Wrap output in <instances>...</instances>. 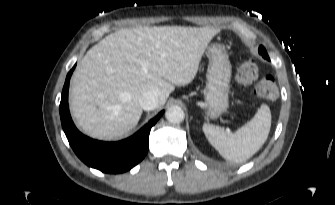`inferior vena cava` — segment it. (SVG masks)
Segmentation results:
<instances>
[{"label":"inferior vena cava","mask_w":335,"mask_h":205,"mask_svg":"<svg viewBox=\"0 0 335 205\" xmlns=\"http://www.w3.org/2000/svg\"><path fill=\"white\" fill-rule=\"evenodd\" d=\"M142 109L149 111L157 108L158 105V93L154 89L145 91L138 100Z\"/></svg>","instance_id":"602c4592"}]
</instances>
